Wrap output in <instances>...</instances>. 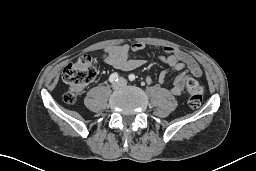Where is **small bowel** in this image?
<instances>
[{
    "label": "small bowel",
    "mask_w": 256,
    "mask_h": 171,
    "mask_svg": "<svg viewBox=\"0 0 256 171\" xmlns=\"http://www.w3.org/2000/svg\"><path fill=\"white\" fill-rule=\"evenodd\" d=\"M145 47L146 45L141 42L132 45L111 46L105 50L103 59L107 64L116 69L123 71L134 70L142 66L146 60L132 57L131 52L141 51ZM163 50L166 55H159L157 59L165 65V68L159 74L158 80L162 84L165 82L166 75L171 70H182L183 72L175 78L170 89L171 94L178 96L183 92L188 77L199 78L203 72L195 59L188 53L172 46H164Z\"/></svg>",
    "instance_id": "1"
}]
</instances>
